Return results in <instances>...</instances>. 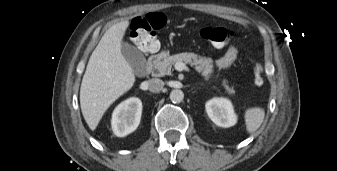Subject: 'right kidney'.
I'll list each match as a JSON object with an SVG mask.
<instances>
[{"label": "right kidney", "instance_id": "right-kidney-1", "mask_svg": "<svg viewBox=\"0 0 337 171\" xmlns=\"http://www.w3.org/2000/svg\"><path fill=\"white\" fill-rule=\"evenodd\" d=\"M142 102L139 98H129L120 103L112 114L111 126L114 134L124 137L135 131L140 123Z\"/></svg>", "mask_w": 337, "mask_h": 171}]
</instances>
